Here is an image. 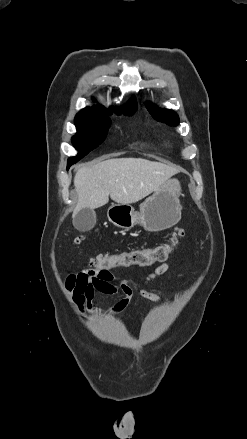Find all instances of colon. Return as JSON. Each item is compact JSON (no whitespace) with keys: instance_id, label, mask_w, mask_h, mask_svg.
<instances>
[{"instance_id":"5ec220e1","label":"colon","mask_w":247,"mask_h":439,"mask_svg":"<svg viewBox=\"0 0 247 439\" xmlns=\"http://www.w3.org/2000/svg\"><path fill=\"white\" fill-rule=\"evenodd\" d=\"M184 230L178 228L169 243L151 247L125 251L119 254H100L90 262L93 270L104 271L117 267L148 266L167 260L180 239ZM80 242V238L77 239Z\"/></svg>"}]
</instances>
